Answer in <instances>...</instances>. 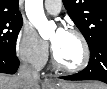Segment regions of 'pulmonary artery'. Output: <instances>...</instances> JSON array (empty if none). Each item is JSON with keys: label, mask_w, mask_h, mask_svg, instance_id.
<instances>
[{"label": "pulmonary artery", "mask_w": 107, "mask_h": 89, "mask_svg": "<svg viewBox=\"0 0 107 89\" xmlns=\"http://www.w3.org/2000/svg\"><path fill=\"white\" fill-rule=\"evenodd\" d=\"M44 7L50 14H58L61 10L60 0H45Z\"/></svg>", "instance_id": "obj_1"}]
</instances>
